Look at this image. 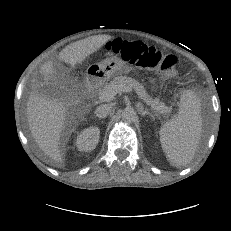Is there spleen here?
Returning a JSON list of instances; mask_svg holds the SVG:
<instances>
[{
    "label": "spleen",
    "mask_w": 231,
    "mask_h": 231,
    "mask_svg": "<svg viewBox=\"0 0 231 231\" xmlns=\"http://www.w3.org/2000/svg\"><path fill=\"white\" fill-rule=\"evenodd\" d=\"M200 100L193 91H186L180 99L177 117L160 129V142L171 165L184 166L192 161L202 132Z\"/></svg>",
    "instance_id": "obj_1"
}]
</instances>
